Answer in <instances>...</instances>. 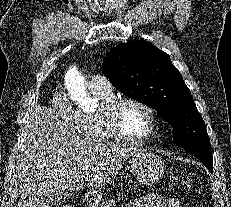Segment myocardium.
Here are the masks:
<instances>
[{"instance_id": "f54148a6", "label": "myocardium", "mask_w": 231, "mask_h": 207, "mask_svg": "<svg viewBox=\"0 0 231 207\" xmlns=\"http://www.w3.org/2000/svg\"><path fill=\"white\" fill-rule=\"evenodd\" d=\"M136 104L142 107L149 116L150 119V131L148 132L147 135L143 137H133L129 135L121 122L120 114L122 108L126 104ZM106 123L110 130L121 140L131 142V143H144L149 140H151L157 133V127H158V120H157V115L154 109L147 104L146 102L134 98V97H121V98H116L107 108L106 110Z\"/></svg>"}]
</instances>
